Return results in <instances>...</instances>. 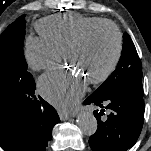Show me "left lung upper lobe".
Returning <instances> with one entry per match:
<instances>
[{
	"label": "left lung upper lobe",
	"mask_w": 151,
	"mask_h": 151,
	"mask_svg": "<svg viewBox=\"0 0 151 151\" xmlns=\"http://www.w3.org/2000/svg\"><path fill=\"white\" fill-rule=\"evenodd\" d=\"M132 79H142L141 61L129 34L123 35V50L115 71L92 93L93 96H106Z\"/></svg>",
	"instance_id": "1"
}]
</instances>
